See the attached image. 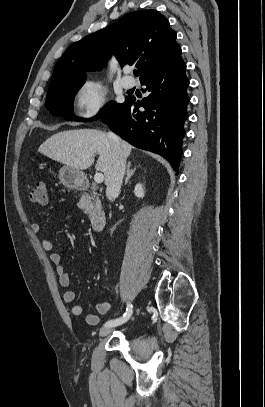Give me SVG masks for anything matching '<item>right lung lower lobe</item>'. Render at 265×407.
<instances>
[{"label": "right lung lower lobe", "mask_w": 265, "mask_h": 407, "mask_svg": "<svg viewBox=\"0 0 265 407\" xmlns=\"http://www.w3.org/2000/svg\"><path fill=\"white\" fill-rule=\"evenodd\" d=\"M181 52L141 79L149 96L142 101L127 97L102 116L111 130L135 147L166 158L178 173L184 122L188 118L189 80ZM143 107L144 111H139Z\"/></svg>", "instance_id": "98d812e1"}]
</instances>
